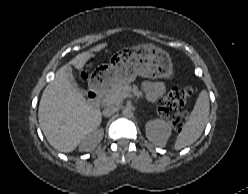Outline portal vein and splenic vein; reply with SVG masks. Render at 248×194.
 <instances>
[{
  "label": "portal vein and splenic vein",
  "mask_w": 248,
  "mask_h": 194,
  "mask_svg": "<svg viewBox=\"0 0 248 194\" xmlns=\"http://www.w3.org/2000/svg\"><path fill=\"white\" fill-rule=\"evenodd\" d=\"M128 96H129L128 94H125V95H124V98H126V97H128Z\"/></svg>",
  "instance_id": "18ae733b"
}]
</instances>
